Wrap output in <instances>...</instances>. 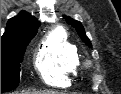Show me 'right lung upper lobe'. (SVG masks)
Instances as JSON below:
<instances>
[{"label": "right lung upper lobe", "instance_id": "obj_1", "mask_svg": "<svg viewBox=\"0 0 121 94\" xmlns=\"http://www.w3.org/2000/svg\"><path fill=\"white\" fill-rule=\"evenodd\" d=\"M40 22L30 14L21 12L18 16L11 18L1 37V44L20 39L21 37L37 32Z\"/></svg>", "mask_w": 121, "mask_h": 94}]
</instances>
